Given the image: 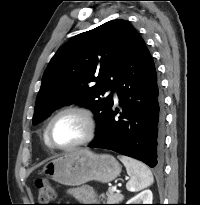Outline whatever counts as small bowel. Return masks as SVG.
Instances as JSON below:
<instances>
[{
	"mask_svg": "<svg viewBox=\"0 0 200 205\" xmlns=\"http://www.w3.org/2000/svg\"><path fill=\"white\" fill-rule=\"evenodd\" d=\"M69 194L82 200H92L94 198L93 192L83 188L72 189Z\"/></svg>",
	"mask_w": 200,
	"mask_h": 205,
	"instance_id": "obj_1",
	"label": "small bowel"
}]
</instances>
